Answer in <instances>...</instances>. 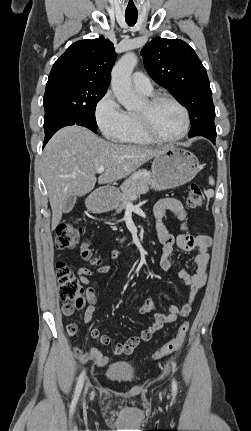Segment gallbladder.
I'll return each mask as SVG.
<instances>
[{
	"instance_id": "1",
	"label": "gallbladder",
	"mask_w": 251,
	"mask_h": 431,
	"mask_svg": "<svg viewBox=\"0 0 251 431\" xmlns=\"http://www.w3.org/2000/svg\"><path fill=\"white\" fill-rule=\"evenodd\" d=\"M76 199H77L76 195H69L66 198L65 203L63 205V213L64 214L69 213L73 209V207L76 203Z\"/></svg>"
}]
</instances>
